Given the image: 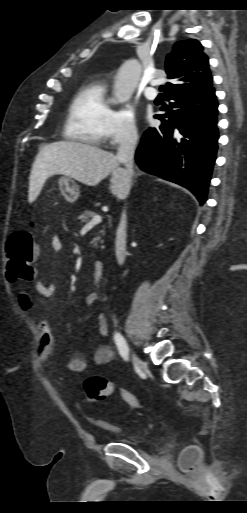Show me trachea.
<instances>
[{"mask_svg": "<svg viewBox=\"0 0 247 513\" xmlns=\"http://www.w3.org/2000/svg\"><path fill=\"white\" fill-rule=\"evenodd\" d=\"M164 89H165V86H163V85L160 86V88H159L160 91H163Z\"/></svg>", "mask_w": 247, "mask_h": 513, "instance_id": "3493384b", "label": "trachea"}]
</instances>
